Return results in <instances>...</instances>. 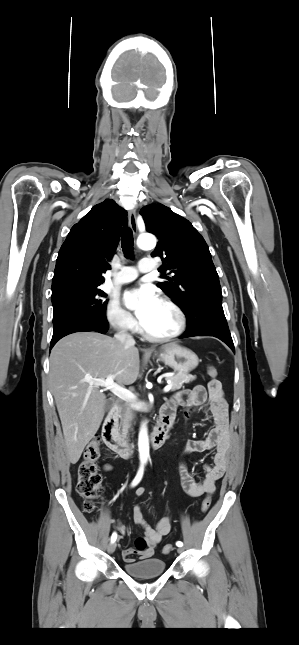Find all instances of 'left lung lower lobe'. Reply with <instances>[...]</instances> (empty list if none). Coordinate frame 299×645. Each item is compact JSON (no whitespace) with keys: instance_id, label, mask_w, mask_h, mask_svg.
I'll return each instance as SVG.
<instances>
[{"instance_id":"left-lung-lower-lobe-1","label":"left lung lower lobe","mask_w":299,"mask_h":645,"mask_svg":"<svg viewBox=\"0 0 299 645\" xmlns=\"http://www.w3.org/2000/svg\"><path fill=\"white\" fill-rule=\"evenodd\" d=\"M205 320L199 330H189L180 337L214 336L225 342L233 351L234 344L224 315L222 301H214L205 309Z\"/></svg>"}]
</instances>
